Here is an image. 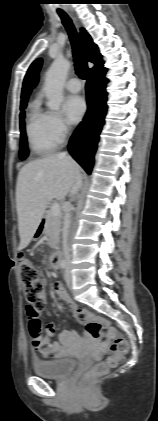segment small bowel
Returning a JSON list of instances; mask_svg holds the SVG:
<instances>
[{
	"label": "small bowel",
	"instance_id": "small-bowel-1",
	"mask_svg": "<svg viewBox=\"0 0 158 421\" xmlns=\"http://www.w3.org/2000/svg\"><path fill=\"white\" fill-rule=\"evenodd\" d=\"M54 295L65 302L72 312L73 316L77 321L82 324L79 316L82 314L92 315L86 310L80 309L77 304L70 298L64 286L57 282L53 287ZM29 323V334L34 350L40 352L43 355H52L56 358L64 357L66 355V348L64 345L71 343H83L87 342L86 337H79L73 330H66L58 335L57 341H51L50 337L55 334V325L49 324L46 329V334H43L40 328V323H35L32 316L27 309ZM98 351H103V348H99Z\"/></svg>",
	"mask_w": 158,
	"mask_h": 421
}]
</instances>
